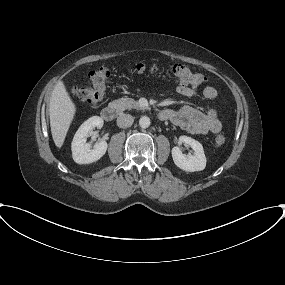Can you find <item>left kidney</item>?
<instances>
[{
    "label": "left kidney",
    "mask_w": 285,
    "mask_h": 285,
    "mask_svg": "<svg viewBox=\"0 0 285 285\" xmlns=\"http://www.w3.org/2000/svg\"><path fill=\"white\" fill-rule=\"evenodd\" d=\"M180 143L193 149L192 154H183L179 147L172 148V158L177 167L187 172L202 171L206 167V157L200 142L188 136H180Z\"/></svg>",
    "instance_id": "1"
}]
</instances>
